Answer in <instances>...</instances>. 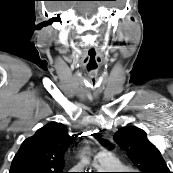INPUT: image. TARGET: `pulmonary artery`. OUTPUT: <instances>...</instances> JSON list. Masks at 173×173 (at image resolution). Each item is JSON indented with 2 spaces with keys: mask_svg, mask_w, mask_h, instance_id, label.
<instances>
[{
  "mask_svg": "<svg viewBox=\"0 0 173 173\" xmlns=\"http://www.w3.org/2000/svg\"><path fill=\"white\" fill-rule=\"evenodd\" d=\"M112 155L107 152H100L95 156V159L98 163L110 167L109 161L111 160Z\"/></svg>",
  "mask_w": 173,
  "mask_h": 173,
  "instance_id": "1",
  "label": "pulmonary artery"
}]
</instances>
